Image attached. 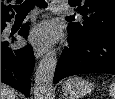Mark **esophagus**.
Instances as JSON below:
<instances>
[{
  "label": "esophagus",
  "instance_id": "34e87169",
  "mask_svg": "<svg viewBox=\"0 0 115 99\" xmlns=\"http://www.w3.org/2000/svg\"><path fill=\"white\" fill-rule=\"evenodd\" d=\"M44 54H45V48H38V47L35 48L34 55L36 59L42 57Z\"/></svg>",
  "mask_w": 115,
  "mask_h": 99
}]
</instances>
